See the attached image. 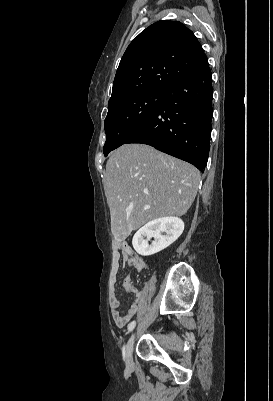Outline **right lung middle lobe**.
<instances>
[{
	"instance_id": "right-lung-middle-lobe-1",
	"label": "right lung middle lobe",
	"mask_w": 273,
	"mask_h": 401,
	"mask_svg": "<svg viewBox=\"0 0 273 401\" xmlns=\"http://www.w3.org/2000/svg\"><path fill=\"white\" fill-rule=\"evenodd\" d=\"M164 98L162 91H142L118 99L108 104L105 119V156L123 145L143 122L160 105Z\"/></svg>"
}]
</instances>
